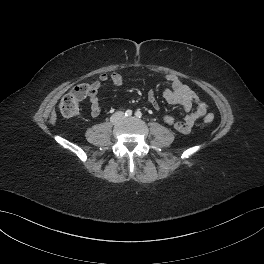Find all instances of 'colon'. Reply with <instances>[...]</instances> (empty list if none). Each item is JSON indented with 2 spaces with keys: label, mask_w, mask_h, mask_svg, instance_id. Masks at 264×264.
<instances>
[{
  "label": "colon",
  "mask_w": 264,
  "mask_h": 264,
  "mask_svg": "<svg viewBox=\"0 0 264 264\" xmlns=\"http://www.w3.org/2000/svg\"><path fill=\"white\" fill-rule=\"evenodd\" d=\"M90 91V85L82 84L65 95L60 102V111L65 117L75 116L79 111L80 102L86 98ZM214 116L208 114L204 118L205 123H212Z\"/></svg>",
  "instance_id": "1"
}]
</instances>
